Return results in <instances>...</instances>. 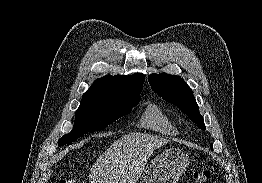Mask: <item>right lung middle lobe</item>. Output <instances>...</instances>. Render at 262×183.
Listing matches in <instances>:
<instances>
[{
	"instance_id": "obj_1",
	"label": "right lung middle lobe",
	"mask_w": 262,
	"mask_h": 183,
	"mask_svg": "<svg viewBox=\"0 0 262 183\" xmlns=\"http://www.w3.org/2000/svg\"><path fill=\"white\" fill-rule=\"evenodd\" d=\"M139 100L105 101L82 98L75 113L72 131L59 139L58 145L71 144L85 133L105 129L117 119L130 113Z\"/></svg>"
}]
</instances>
